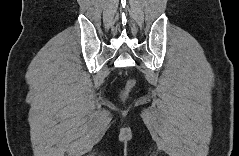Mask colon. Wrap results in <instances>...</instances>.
<instances>
[{"mask_svg": "<svg viewBox=\"0 0 239 156\" xmlns=\"http://www.w3.org/2000/svg\"><path fill=\"white\" fill-rule=\"evenodd\" d=\"M133 82L132 81H129L128 82V86H127V89H129L131 86H132Z\"/></svg>", "mask_w": 239, "mask_h": 156, "instance_id": "5ec220e1", "label": "colon"}]
</instances>
